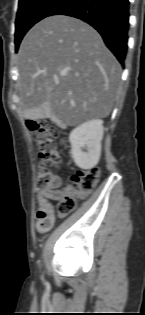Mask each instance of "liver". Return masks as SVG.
<instances>
[{
	"label": "liver",
	"mask_w": 145,
	"mask_h": 315,
	"mask_svg": "<svg viewBox=\"0 0 145 315\" xmlns=\"http://www.w3.org/2000/svg\"><path fill=\"white\" fill-rule=\"evenodd\" d=\"M19 106L25 118L66 126L107 117L121 67L100 34L65 15L47 17L24 37L17 59Z\"/></svg>",
	"instance_id": "obj_1"
}]
</instances>
